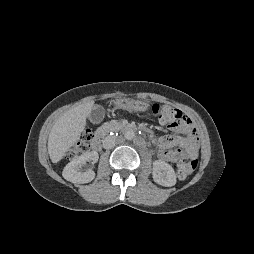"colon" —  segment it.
Instances as JSON below:
<instances>
[{"label": "colon", "instance_id": "5ec220e1", "mask_svg": "<svg viewBox=\"0 0 254 254\" xmlns=\"http://www.w3.org/2000/svg\"><path fill=\"white\" fill-rule=\"evenodd\" d=\"M152 114L157 117L160 122L167 124L171 127H182L191 124L190 118L181 110L174 108L169 104L154 103L151 107ZM89 135L85 134L79 141L77 148L68 151L69 158H73L79 151L87 149V140ZM196 159H185L177 165V175L180 179L188 178L197 168Z\"/></svg>", "mask_w": 254, "mask_h": 254}]
</instances>
